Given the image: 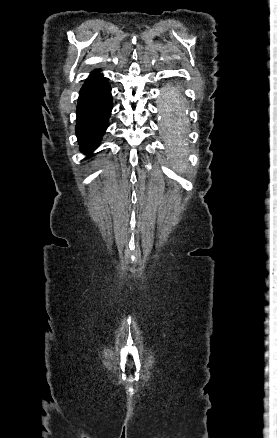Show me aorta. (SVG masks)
<instances>
[{"mask_svg":"<svg viewBox=\"0 0 277 438\" xmlns=\"http://www.w3.org/2000/svg\"><path fill=\"white\" fill-rule=\"evenodd\" d=\"M187 122L186 109L174 96H171L167 111H161V127L171 146L170 156L173 167L181 171L186 169V163L182 157L176 155V146L180 135L185 136L187 133Z\"/></svg>","mask_w":277,"mask_h":438,"instance_id":"obj_1","label":"aorta"}]
</instances>
